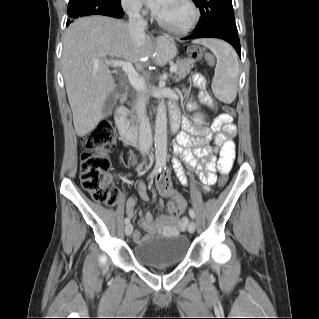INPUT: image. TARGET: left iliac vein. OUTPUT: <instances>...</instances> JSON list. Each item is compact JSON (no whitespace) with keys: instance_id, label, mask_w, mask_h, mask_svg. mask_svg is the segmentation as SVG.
Listing matches in <instances>:
<instances>
[{"instance_id":"obj_1","label":"left iliac vein","mask_w":319,"mask_h":319,"mask_svg":"<svg viewBox=\"0 0 319 319\" xmlns=\"http://www.w3.org/2000/svg\"><path fill=\"white\" fill-rule=\"evenodd\" d=\"M195 228H196V225H195V222L194 221H191L188 225V231L189 233H194L195 232Z\"/></svg>"}]
</instances>
